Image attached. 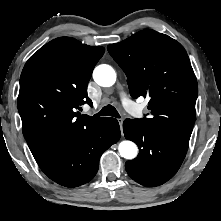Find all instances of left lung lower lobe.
<instances>
[{
    "label": "left lung lower lobe",
    "mask_w": 221,
    "mask_h": 221,
    "mask_svg": "<svg viewBox=\"0 0 221 221\" xmlns=\"http://www.w3.org/2000/svg\"><path fill=\"white\" fill-rule=\"evenodd\" d=\"M123 131L127 139L139 147V154L125 164L128 175L144 186H158L180 168L188 149V142L164 136L137 119H126Z\"/></svg>",
    "instance_id": "1"
}]
</instances>
